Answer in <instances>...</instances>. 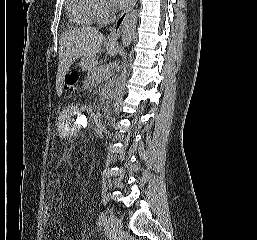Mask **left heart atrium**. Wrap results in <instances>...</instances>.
Segmentation results:
<instances>
[{"instance_id":"1","label":"left heart atrium","mask_w":257,"mask_h":240,"mask_svg":"<svg viewBox=\"0 0 257 240\" xmlns=\"http://www.w3.org/2000/svg\"><path fill=\"white\" fill-rule=\"evenodd\" d=\"M112 5L116 8H122L125 7L130 0H110Z\"/></svg>"}]
</instances>
